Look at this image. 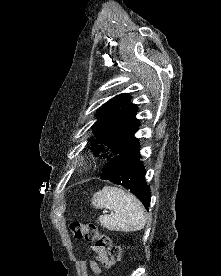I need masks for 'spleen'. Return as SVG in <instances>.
I'll use <instances>...</instances> for the list:
<instances>
[{"label":"spleen","mask_w":221,"mask_h":276,"mask_svg":"<svg viewBox=\"0 0 221 276\" xmlns=\"http://www.w3.org/2000/svg\"><path fill=\"white\" fill-rule=\"evenodd\" d=\"M92 205L113 211L99 217L101 225L110 231H139L146 224L145 210L140 201L121 188L103 187L94 194Z\"/></svg>","instance_id":"obj_1"}]
</instances>
